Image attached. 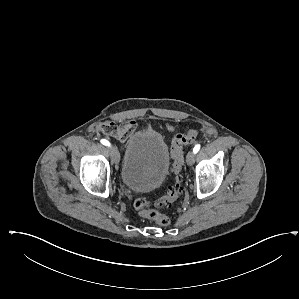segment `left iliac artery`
Instances as JSON below:
<instances>
[{
  "label": "left iliac artery",
  "instance_id": "obj_1",
  "mask_svg": "<svg viewBox=\"0 0 299 299\" xmlns=\"http://www.w3.org/2000/svg\"><path fill=\"white\" fill-rule=\"evenodd\" d=\"M200 144H196L195 146H194V148H193V152H194V154H196L199 150H200Z\"/></svg>",
  "mask_w": 299,
  "mask_h": 299
}]
</instances>
